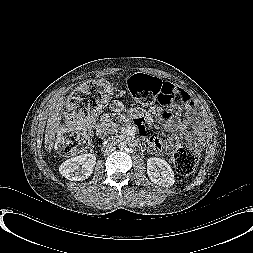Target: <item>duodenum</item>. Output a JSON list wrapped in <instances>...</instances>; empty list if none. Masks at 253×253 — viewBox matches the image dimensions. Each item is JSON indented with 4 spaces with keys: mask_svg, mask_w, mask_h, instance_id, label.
<instances>
[{
    "mask_svg": "<svg viewBox=\"0 0 253 253\" xmlns=\"http://www.w3.org/2000/svg\"><path fill=\"white\" fill-rule=\"evenodd\" d=\"M125 141L129 142L131 145H135L137 143L135 141L129 140L128 136L123 135L122 137L115 138L114 140H112L111 142H109L107 144L117 145V144H119L121 142H125Z\"/></svg>",
    "mask_w": 253,
    "mask_h": 253,
    "instance_id": "obj_1",
    "label": "duodenum"
}]
</instances>
